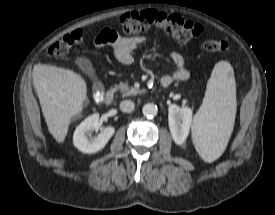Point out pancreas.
I'll return each instance as SVG.
<instances>
[{"label":"pancreas","instance_id":"cf45deb5","mask_svg":"<svg viewBox=\"0 0 275 215\" xmlns=\"http://www.w3.org/2000/svg\"><path fill=\"white\" fill-rule=\"evenodd\" d=\"M116 89L121 91L123 97L133 96L143 92L142 90L136 87H130L128 83H122V82L118 86H116Z\"/></svg>","mask_w":275,"mask_h":215}]
</instances>
